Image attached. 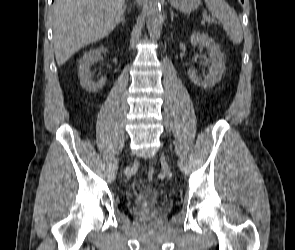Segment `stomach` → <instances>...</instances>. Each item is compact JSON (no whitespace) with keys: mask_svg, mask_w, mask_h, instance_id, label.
Instances as JSON below:
<instances>
[{"mask_svg":"<svg viewBox=\"0 0 295 250\" xmlns=\"http://www.w3.org/2000/svg\"><path fill=\"white\" fill-rule=\"evenodd\" d=\"M169 3L176 9L182 12H191L197 9L201 0H168Z\"/></svg>","mask_w":295,"mask_h":250,"instance_id":"0dacf381","label":"stomach"}]
</instances>
